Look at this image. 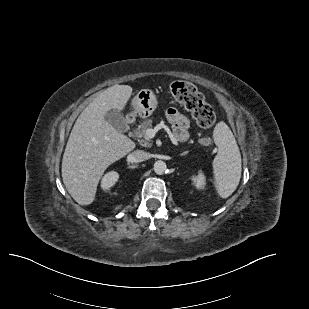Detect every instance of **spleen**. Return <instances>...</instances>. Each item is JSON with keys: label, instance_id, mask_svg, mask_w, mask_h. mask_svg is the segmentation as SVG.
<instances>
[{"label": "spleen", "instance_id": "1", "mask_svg": "<svg viewBox=\"0 0 309 309\" xmlns=\"http://www.w3.org/2000/svg\"><path fill=\"white\" fill-rule=\"evenodd\" d=\"M218 153L213 161L214 185L218 195L226 199L237 188L241 178V154L235 137L224 122H219L213 132Z\"/></svg>", "mask_w": 309, "mask_h": 309}]
</instances>
